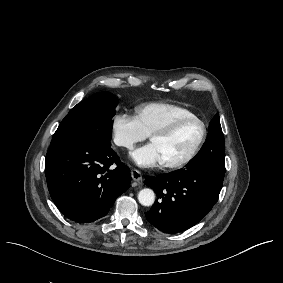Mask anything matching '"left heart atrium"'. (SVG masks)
Here are the masks:
<instances>
[{"instance_id":"left-heart-atrium-1","label":"left heart atrium","mask_w":283,"mask_h":283,"mask_svg":"<svg viewBox=\"0 0 283 283\" xmlns=\"http://www.w3.org/2000/svg\"><path fill=\"white\" fill-rule=\"evenodd\" d=\"M130 157L138 167L143 169H152L165 164L161 149L153 142L135 149Z\"/></svg>"}]
</instances>
